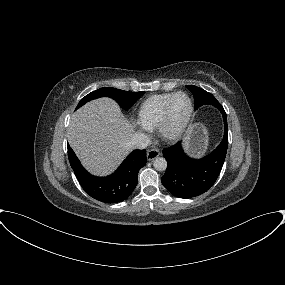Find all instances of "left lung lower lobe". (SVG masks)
<instances>
[{"mask_svg":"<svg viewBox=\"0 0 285 285\" xmlns=\"http://www.w3.org/2000/svg\"><path fill=\"white\" fill-rule=\"evenodd\" d=\"M224 119V137L219 146L202 159H193L184 153L181 142L163 150L167 168L162 184L173 195L188 199L203 194L215 183L222 169L227 147V117L222 105L216 104Z\"/></svg>","mask_w":285,"mask_h":285,"instance_id":"1","label":"left lung lower lobe"}]
</instances>
